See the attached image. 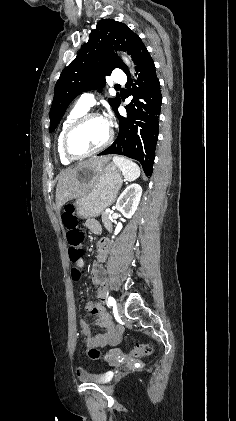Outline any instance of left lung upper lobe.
Here are the masks:
<instances>
[{"mask_svg":"<svg viewBox=\"0 0 236 421\" xmlns=\"http://www.w3.org/2000/svg\"><path fill=\"white\" fill-rule=\"evenodd\" d=\"M143 42L126 24L104 19L98 22L97 28L89 35L77 57L61 73L56 85L54 99L50 110V129L53 132L58 126L70 102L80 93L102 88L105 76L112 70L120 68L124 72L126 65L114 51H126L131 57ZM114 111L118 109L121 99L117 96L108 100Z\"/></svg>","mask_w":236,"mask_h":421,"instance_id":"left-lung-upper-lobe-1","label":"left lung upper lobe"}]
</instances>
